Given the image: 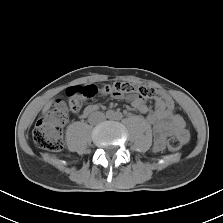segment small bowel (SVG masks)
Masks as SVG:
<instances>
[{"instance_id": "small-bowel-1", "label": "small bowel", "mask_w": 223, "mask_h": 223, "mask_svg": "<svg viewBox=\"0 0 223 223\" xmlns=\"http://www.w3.org/2000/svg\"><path fill=\"white\" fill-rule=\"evenodd\" d=\"M127 99L136 110L142 113L148 111L146 103L138 97L129 96ZM98 109L99 106L97 104H91L83 110L81 116L87 117ZM147 122L151 126L155 136L153 148L156 152L164 150L165 141L168 136L174 135L178 137L182 143H186L189 140L184 119L175 112V108L172 111L167 110L166 104L163 103L162 98L155 100L154 110L148 114Z\"/></svg>"}]
</instances>
